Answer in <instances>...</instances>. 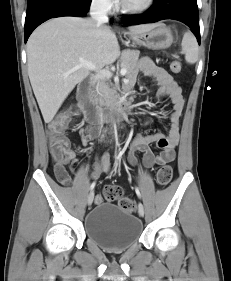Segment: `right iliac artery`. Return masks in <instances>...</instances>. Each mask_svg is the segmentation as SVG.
<instances>
[{
  "label": "right iliac artery",
  "mask_w": 231,
  "mask_h": 281,
  "mask_svg": "<svg viewBox=\"0 0 231 281\" xmlns=\"http://www.w3.org/2000/svg\"><path fill=\"white\" fill-rule=\"evenodd\" d=\"M95 182H93L92 184H91V186H90V190H93L94 189V187H95Z\"/></svg>",
  "instance_id": "right-iliac-artery-1"
}]
</instances>
